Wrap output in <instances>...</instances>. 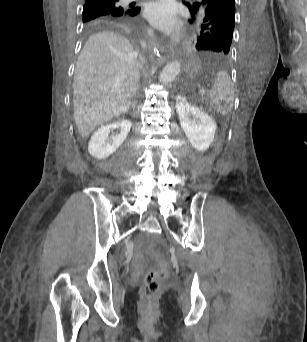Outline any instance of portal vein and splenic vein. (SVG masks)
Instances as JSON below:
<instances>
[{
  "mask_svg": "<svg viewBox=\"0 0 307 342\" xmlns=\"http://www.w3.org/2000/svg\"><path fill=\"white\" fill-rule=\"evenodd\" d=\"M200 92H201L200 94H201L202 96H204V95L206 94V93H205V92H206V89H205V88H201V89H200Z\"/></svg>",
  "mask_w": 307,
  "mask_h": 342,
  "instance_id": "18ae733b",
  "label": "portal vein and splenic vein"
}]
</instances>
